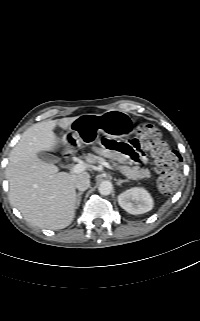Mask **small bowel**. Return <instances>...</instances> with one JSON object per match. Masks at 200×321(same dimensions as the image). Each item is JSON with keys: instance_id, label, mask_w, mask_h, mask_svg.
Masks as SVG:
<instances>
[{"instance_id": "c3829d8e", "label": "small bowel", "mask_w": 200, "mask_h": 321, "mask_svg": "<svg viewBox=\"0 0 200 321\" xmlns=\"http://www.w3.org/2000/svg\"><path fill=\"white\" fill-rule=\"evenodd\" d=\"M102 146L113 152L115 156L126 158L129 162H140L148 155L142 140L138 136H126L124 141L105 135L100 136Z\"/></svg>"}]
</instances>
